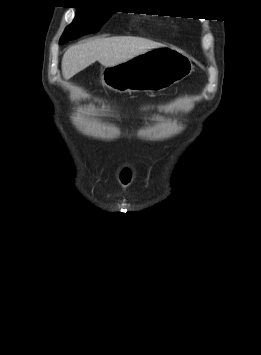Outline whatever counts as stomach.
Wrapping results in <instances>:
<instances>
[{
  "mask_svg": "<svg viewBox=\"0 0 261 355\" xmlns=\"http://www.w3.org/2000/svg\"><path fill=\"white\" fill-rule=\"evenodd\" d=\"M194 70L190 58L170 46L143 52L101 71V83L119 93L167 89Z\"/></svg>",
  "mask_w": 261,
  "mask_h": 355,
  "instance_id": "obj_1",
  "label": "stomach"
}]
</instances>
